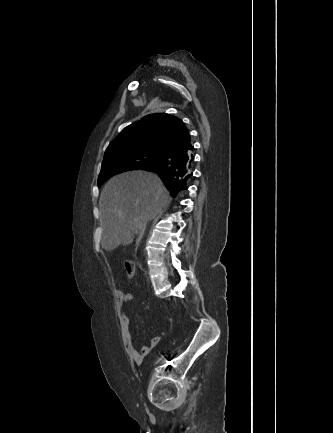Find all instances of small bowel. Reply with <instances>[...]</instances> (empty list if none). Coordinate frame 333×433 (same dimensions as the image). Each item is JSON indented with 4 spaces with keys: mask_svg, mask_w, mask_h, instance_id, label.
<instances>
[{
    "mask_svg": "<svg viewBox=\"0 0 333 433\" xmlns=\"http://www.w3.org/2000/svg\"><path fill=\"white\" fill-rule=\"evenodd\" d=\"M118 298L123 305L132 302L134 300V295L130 292H119ZM119 322L126 352L130 356V358L139 365L142 363L145 356H147L151 352V350L159 344L161 337L154 336L151 339L149 345H144L138 350L134 345L132 335L129 330L130 319L124 309H121L119 313Z\"/></svg>",
    "mask_w": 333,
    "mask_h": 433,
    "instance_id": "c3829d8e",
    "label": "small bowel"
}]
</instances>
